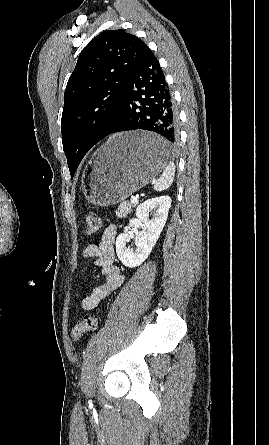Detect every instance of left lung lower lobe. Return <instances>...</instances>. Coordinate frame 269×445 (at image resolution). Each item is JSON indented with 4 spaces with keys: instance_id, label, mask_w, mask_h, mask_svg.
<instances>
[{
    "instance_id": "obj_1",
    "label": "left lung lower lobe",
    "mask_w": 269,
    "mask_h": 445,
    "mask_svg": "<svg viewBox=\"0 0 269 445\" xmlns=\"http://www.w3.org/2000/svg\"><path fill=\"white\" fill-rule=\"evenodd\" d=\"M137 129L157 133L169 150L178 140V115L173 97L159 61L148 46L128 81L120 102V115L102 138Z\"/></svg>"
}]
</instances>
